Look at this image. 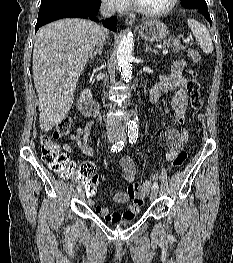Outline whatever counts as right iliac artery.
<instances>
[{
  "instance_id": "82829eb1",
  "label": "right iliac artery",
  "mask_w": 233,
  "mask_h": 263,
  "mask_svg": "<svg viewBox=\"0 0 233 263\" xmlns=\"http://www.w3.org/2000/svg\"><path fill=\"white\" fill-rule=\"evenodd\" d=\"M124 145H125L124 141H119L113 144V146L111 147V152H119L120 150L123 149ZM81 189H82V186L79 184L77 186V190L80 191Z\"/></svg>"
}]
</instances>
